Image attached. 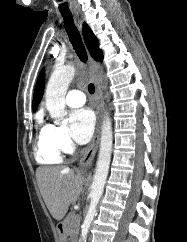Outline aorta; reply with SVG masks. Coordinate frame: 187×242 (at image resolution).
<instances>
[{"label":"aorta","instance_id":"762f6f07","mask_svg":"<svg viewBox=\"0 0 187 242\" xmlns=\"http://www.w3.org/2000/svg\"><path fill=\"white\" fill-rule=\"evenodd\" d=\"M74 75V66H57L54 69L47 84L45 93L46 106L50 116L57 121L64 119L66 115L65 95ZM112 143V123L109 114L106 113L102 122L98 160L96 163V170L91 186V202L82 227V241L84 242H86L89 227L94 218L97 204L103 193V189L107 179L109 165L111 161Z\"/></svg>","mask_w":187,"mask_h":242}]
</instances>
